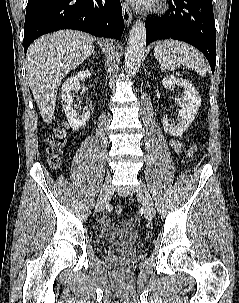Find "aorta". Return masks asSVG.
I'll return each mask as SVG.
<instances>
[{
	"instance_id": "1",
	"label": "aorta",
	"mask_w": 239,
	"mask_h": 303,
	"mask_svg": "<svg viewBox=\"0 0 239 303\" xmlns=\"http://www.w3.org/2000/svg\"><path fill=\"white\" fill-rule=\"evenodd\" d=\"M146 46V29L142 20L135 21L132 26L125 54V69L130 75H135L140 67Z\"/></svg>"
}]
</instances>
